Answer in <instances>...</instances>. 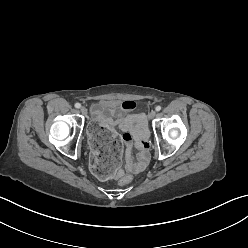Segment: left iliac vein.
Masks as SVG:
<instances>
[{
  "label": "left iliac vein",
  "mask_w": 248,
  "mask_h": 248,
  "mask_svg": "<svg viewBox=\"0 0 248 248\" xmlns=\"http://www.w3.org/2000/svg\"><path fill=\"white\" fill-rule=\"evenodd\" d=\"M155 116H156V111L151 110L150 113H149V115H148V118L149 119H153Z\"/></svg>",
  "instance_id": "obj_1"
}]
</instances>
